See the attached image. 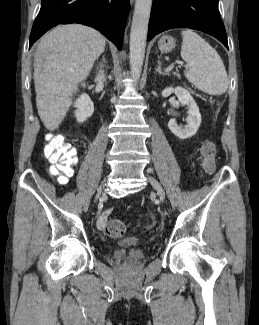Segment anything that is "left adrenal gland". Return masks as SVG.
Wrapping results in <instances>:
<instances>
[{"mask_svg": "<svg viewBox=\"0 0 259 325\" xmlns=\"http://www.w3.org/2000/svg\"><path fill=\"white\" fill-rule=\"evenodd\" d=\"M161 61H158V68L156 69V72H158L160 75H167V73H163L161 70Z\"/></svg>", "mask_w": 259, "mask_h": 325, "instance_id": "obj_1", "label": "left adrenal gland"}]
</instances>
